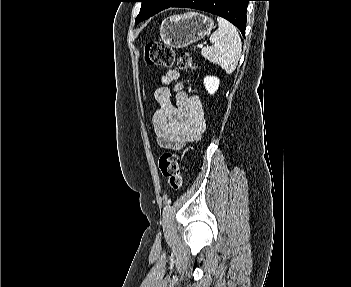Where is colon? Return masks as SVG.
Instances as JSON below:
<instances>
[{
	"label": "colon",
	"instance_id": "5ec220e1",
	"mask_svg": "<svg viewBox=\"0 0 351 287\" xmlns=\"http://www.w3.org/2000/svg\"><path fill=\"white\" fill-rule=\"evenodd\" d=\"M144 57L149 65L160 67L176 65L182 71L194 70V64L187 53L177 55L171 47L163 43H148L144 49ZM159 167L170 188L179 190L182 185L179 156L174 152L163 153L159 158Z\"/></svg>",
	"mask_w": 351,
	"mask_h": 287
}]
</instances>
